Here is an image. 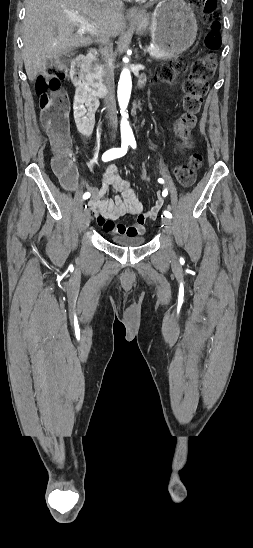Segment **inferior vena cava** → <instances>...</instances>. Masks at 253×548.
Returning <instances> with one entry per match:
<instances>
[{"label":"inferior vena cava","instance_id":"602c4592","mask_svg":"<svg viewBox=\"0 0 253 548\" xmlns=\"http://www.w3.org/2000/svg\"><path fill=\"white\" fill-rule=\"evenodd\" d=\"M116 2L119 5H123V2L121 0H116ZM110 37L111 36L109 34H105L100 39V42L103 45H105V47L102 49V54L104 55L105 62H106L104 65L103 75H104V82L108 88V95L104 98V105L106 106L108 113L103 114L101 117L103 119L108 120L106 124L110 126L112 130H114L113 135L115 136V130H117L118 127L116 122L117 121L116 106H115V101L113 96V78H112L111 72L109 71L107 67L109 53L112 50V43L110 41Z\"/></svg>","mask_w":253,"mask_h":548}]
</instances>
